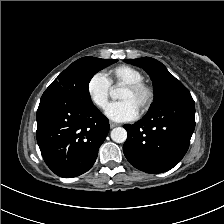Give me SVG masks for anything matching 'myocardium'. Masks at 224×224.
Segmentation results:
<instances>
[{"mask_svg":"<svg viewBox=\"0 0 224 224\" xmlns=\"http://www.w3.org/2000/svg\"><path fill=\"white\" fill-rule=\"evenodd\" d=\"M123 88L133 93L143 94L144 96L143 102L138 110L140 114L146 113L151 108L155 99V91H154V88L150 84L140 81V82L125 84L123 85Z\"/></svg>","mask_w":224,"mask_h":224,"instance_id":"obj_1","label":"myocardium"}]
</instances>
